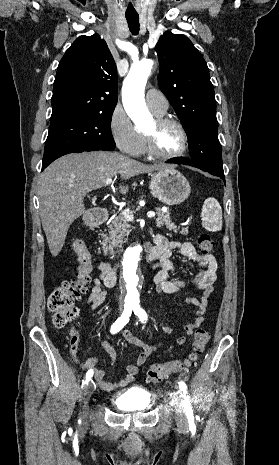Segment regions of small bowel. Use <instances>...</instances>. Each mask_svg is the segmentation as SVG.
<instances>
[{"instance_id":"small-bowel-1","label":"small bowel","mask_w":279,"mask_h":465,"mask_svg":"<svg viewBox=\"0 0 279 465\" xmlns=\"http://www.w3.org/2000/svg\"><path fill=\"white\" fill-rule=\"evenodd\" d=\"M154 247L158 251V257L154 264V268L156 269L154 281L158 292L166 294L178 293L185 286L183 282L171 278V274L177 270V267L171 260L173 252H179L198 270L193 284L202 291V295L200 298L188 297L185 301L186 304L197 308V317L194 321L184 326L183 334L177 339V343L182 345L186 342L187 337L192 335L204 322L203 314L207 307V298L211 295L217 278L216 271L218 264L213 255L198 252L190 242L169 241L162 235H156L154 238ZM108 267L107 263H101L99 265L101 276L93 281L92 290L87 300L93 310L103 304L107 298V292L104 289V286H107L104 282V276ZM171 332L172 327L159 326L161 338H166ZM123 336L128 343L140 348L141 351L136 361L127 365L126 375L120 381L115 383L108 382L105 379V371L97 367L98 359L95 356L88 358L82 364L84 369L93 371L94 379L103 391L112 392L132 384L140 368L146 363L151 354L161 346V343L148 344L129 331H124ZM102 346L113 364L116 360L114 347L106 339L102 341ZM77 361L79 360L77 359Z\"/></svg>"}]
</instances>
